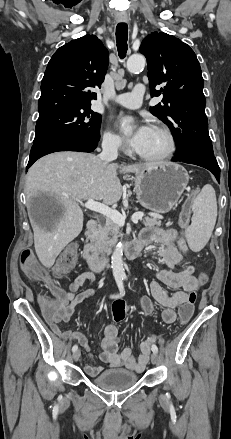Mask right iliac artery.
I'll list each match as a JSON object with an SVG mask.
<instances>
[{
  "label": "right iliac artery",
  "instance_id": "1",
  "mask_svg": "<svg viewBox=\"0 0 231 439\" xmlns=\"http://www.w3.org/2000/svg\"><path fill=\"white\" fill-rule=\"evenodd\" d=\"M116 282H117V285H118V288H119L120 294L112 295V296H110L111 298H118V297L124 295V286H123L122 279L119 278V279L116 280ZM77 349H78V346H77V345H74V346L72 347V351H73V352H75Z\"/></svg>",
  "mask_w": 231,
  "mask_h": 439
}]
</instances>
